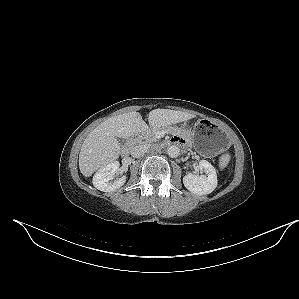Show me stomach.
<instances>
[{
    "mask_svg": "<svg viewBox=\"0 0 299 299\" xmlns=\"http://www.w3.org/2000/svg\"><path fill=\"white\" fill-rule=\"evenodd\" d=\"M182 128L187 129L186 125H183ZM188 133L195 149L206 156H213L228 145L225 130L208 119H199L193 128L188 130Z\"/></svg>",
    "mask_w": 299,
    "mask_h": 299,
    "instance_id": "obj_1",
    "label": "stomach"
}]
</instances>
